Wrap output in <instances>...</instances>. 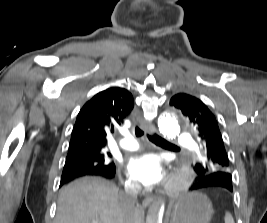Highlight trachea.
<instances>
[{
	"mask_svg": "<svg viewBox=\"0 0 267 223\" xmlns=\"http://www.w3.org/2000/svg\"><path fill=\"white\" fill-rule=\"evenodd\" d=\"M144 132L138 127H135V135L137 137H141ZM148 139L156 145L165 146V147H177L176 145L166 141L162 137L158 136L157 134H147Z\"/></svg>",
	"mask_w": 267,
	"mask_h": 223,
	"instance_id": "trachea-1",
	"label": "trachea"
}]
</instances>
